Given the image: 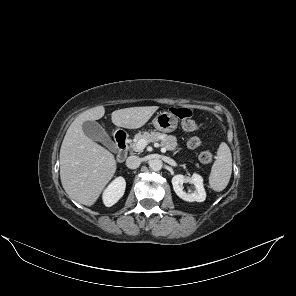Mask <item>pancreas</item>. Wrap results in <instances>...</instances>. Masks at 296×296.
I'll use <instances>...</instances> for the list:
<instances>
[{
  "label": "pancreas",
  "mask_w": 296,
  "mask_h": 296,
  "mask_svg": "<svg viewBox=\"0 0 296 296\" xmlns=\"http://www.w3.org/2000/svg\"><path fill=\"white\" fill-rule=\"evenodd\" d=\"M141 139L146 140L147 143L161 141L160 146L169 151L176 150L178 146L177 138L175 136L151 131V132L138 133L135 135L133 142L131 143V147L134 151L139 152V150L136 148V145L138 141H140Z\"/></svg>",
  "instance_id": "obj_1"
}]
</instances>
